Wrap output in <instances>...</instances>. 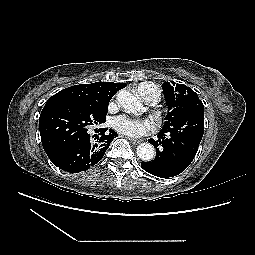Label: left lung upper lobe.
<instances>
[{"instance_id": "left-lung-upper-lobe-1", "label": "left lung upper lobe", "mask_w": 255, "mask_h": 255, "mask_svg": "<svg viewBox=\"0 0 255 255\" xmlns=\"http://www.w3.org/2000/svg\"><path fill=\"white\" fill-rule=\"evenodd\" d=\"M162 88L168 106L164 127L173 126L179 122L190 125L197 112L204 109L197 93L186 85L171 81L164 82Z\"/></svg>"}]
</instances>
